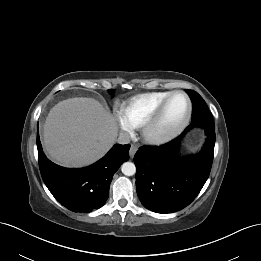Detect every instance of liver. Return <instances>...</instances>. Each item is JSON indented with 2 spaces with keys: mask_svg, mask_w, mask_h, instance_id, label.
<instances>
[{
  "mask_svg": "<svg viewBox=\"0 0 261 261\" xmlns=\"http://www.w3.org/2000/svg\"><path fill=\"white\" fill-rule=\"evenodd\" d=\"M118 126L93 98L75 97L56 104L44 124L49 156L66 167H83L102 158L113 146Z\"/></svg>",
  "mask_w": 261,
  "mask_h": 261,
  "instance_id": "liver-1",
  "label": "liver"
}]
</instances>
